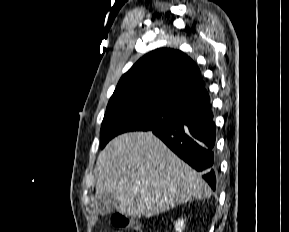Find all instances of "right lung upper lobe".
<instances>
[{
    "mask_svg": "<svg viewBox=\"0 0 289 232\" xmlns=\"http://www.w3.org/2000/svg\"><path fill=\"white\" fill-rule=\"evenodd\" d=\"M139 97L185 110L210 103L193 60L174 49H157L139 59L119 80L111 98Z\"/></svg>",
    "mask_w": 289,
    "mask_h": 232,
    "instance_id": "obj_1",
    "label": "right lung upper lobe"
}]
</instances>
